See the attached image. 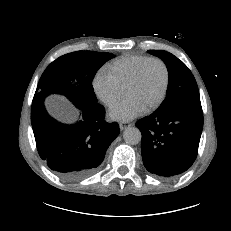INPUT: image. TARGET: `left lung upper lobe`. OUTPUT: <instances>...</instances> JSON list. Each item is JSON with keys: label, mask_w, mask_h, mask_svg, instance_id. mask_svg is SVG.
<instances>
[{"label": "left lung upper lobe", "mask_w": 231, "mask_h": 231, "mask_svg": "<svg viewBox=\"0 0 231 231\" xmlns=\"http://www.w3.org/2000/svg\"><path fill=\"white\" fill-rule=\"evenodd\" d=\"M148 52L161 58L169 73L167 97L157 111L167 112L186 102H200L196 80L180 59L164 50H149Z\"/></svg>", "instance_id": "5c2ea615"}]
</instances>
